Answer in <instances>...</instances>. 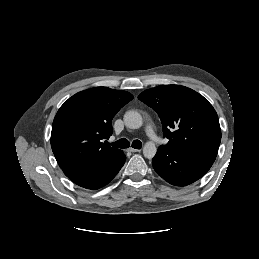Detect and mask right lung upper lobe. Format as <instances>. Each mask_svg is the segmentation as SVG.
<instances>
[{
    "instance_id": "cb5924a9",
    "label": "right lung upper lobe",
    "mask_w": 259,
    "mask_h": 259,
    "mask_svg": "<svg viewBox=\"0 0 259 259\" xmlns=\"http://www.w3.org/2000/svg\"><path fill=\"white\" fill-rule=\"evenodd\" d=\"M132 99L129 92L96 87L61 106L52 125L51 147L64 172L88 168L120 151L102 141L113 132V117Z\"/></svg>"
}]
</instances>
